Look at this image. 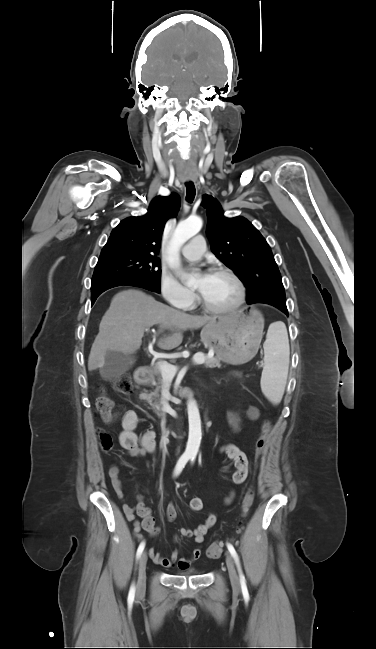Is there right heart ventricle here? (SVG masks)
Instances as JSON below:
<instances>
[{
  "label": "right heart ventricle",
  "instance_id": "obj_1",
  "mask_svg": "<svg viewBox=\"0 0 376 649\" xmlns=\"http://www.w3.org/2000/svg\"><path fill=\"white\" fill-rule=\"evenodd\" d=\"M53 635H54L53 633H50V636H53Z\"/></svg>",
  "mask_w": 376,
  "mask_h": 649
}]
</instances>
